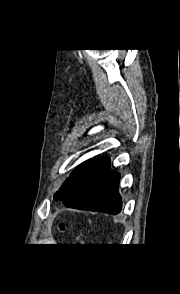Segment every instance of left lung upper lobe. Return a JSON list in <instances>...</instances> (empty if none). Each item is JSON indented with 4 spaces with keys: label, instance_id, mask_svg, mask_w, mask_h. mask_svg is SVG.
I'll return each instance as SVG.
<instances>
[{
    "label": "left lung upper lobe",
    "instance_id": "1",
    "mask_svg": "<svg viewBox=\"0 0 180 294\" xmlns=\"http://www.w3.org/2000/svg\"><path fill=\"white\" fill-rule=\"evenodd\" d=\"M92 159H89L85 162H83L82 164H80L79 166H77L74 171L70 174L69 178L66 179V181L62 184V186L60 187L59 191L56 192V194L54 195V199L57 200H62L67 193L69 192V190L72 187L73 182L76 180V178L82 173V171L86 168V166L89 164V162Z\"/></svg>",
    "mask_w": 180,
    "mask_h": 294
}]
</instances>
